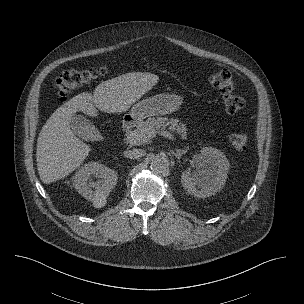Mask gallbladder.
Returning <instances> with one entry per match:
<instances>
[{
	"label": "gallbladder",
	"mask_w": 304,
	"mask_h": 304,
	"mask_svg": "<svg viewBox=\"0 0 304 304\" xmlns=\"http://www.w3.org/2000/svg\"><path fill=\"white\" fill-rule=\"evenodd\" d=\"M70 127L77 137L84 140H91L98 131L93 123L81 114H74L72 116Z\"/></svg>",
	"instance_id": "1"
}]
</instances>
